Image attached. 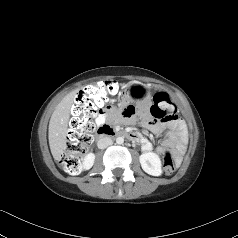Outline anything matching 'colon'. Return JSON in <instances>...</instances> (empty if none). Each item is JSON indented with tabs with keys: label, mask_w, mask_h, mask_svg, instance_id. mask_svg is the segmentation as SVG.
Listing matches in <instances>:
<instances>
[{
	"label": "colon",
	"mask_w": 238,
	"mask_h": 238,
	"mask_svg": "<svg viewBox=\"0 0 238 238\" xmlns=\"http://www.w3.org/2000/svg\"><path fill=\"white\" fill-rule=\"evenodd\" d=\"M119 89L115 81H100L86 86L77 94L72 107L65 151L60 161L61 167L68 174L74 175L79 172L82 157L93 140L95 131L93 118L102 111L110 97L116 95ZM149 113L160 121H169L177 117L176 106L164 92L154 95ZM163 168L166 173H172L176 168V160L170 150L164 153Z\"/></svg>",
	"instance_id": "colon-1"
}]
</instances>
